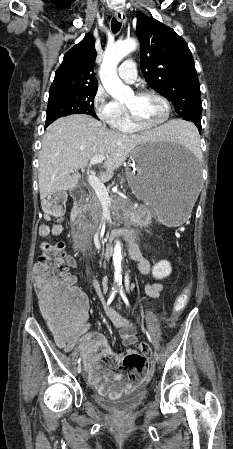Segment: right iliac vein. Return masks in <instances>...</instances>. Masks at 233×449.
<instances>
[{"label":"right iliac vein","instance_id":"right-iliac-vein-1","mask_svg":"<svg viewBox=\"0 0 233 449\" xmlns=\"http://www.w3.org/2000/svg\"><path fill=\"white\" fill-rule=\"evenodd\" d=\"M81 371H82V366H81V364H79L77 367V372L80 373Z\"/></svg>","mask_w":233,"mask_h":449}]
</instances>
